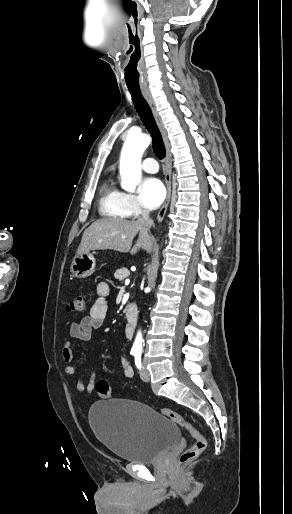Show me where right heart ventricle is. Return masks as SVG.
Returning <instances> with one entry per match:
<instances>
[{
	"label": "right heart ventricle",
	"instance_id": "e07e8e85",
	"mask_svg": "<svg viewBox=\"0 0 292 514\" xmlns=\"http://www.w3.org/2000/svg\"><path fill=\"white\" fill-rule=\"evenodd\" d=\"M98 208L101 216L106 218H122L127 213L124 193L111 177L106 178L99 187Z\"/></svg>",
	"mask_w": 292,
	"mask_h": 514
}]
</instances>
